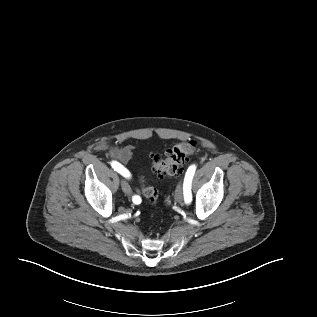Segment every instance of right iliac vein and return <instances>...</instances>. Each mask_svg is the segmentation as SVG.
I'll return each instance as SVG.
<instances>
[{"label": "right iliac vein", "mask_w": 317, "mask_h": 317, "mask_svg": "<svg viewBox=\"0 0 317 317\" xmlns=\"http://www.w3.org/2000/svg\"><path fill=\"white\" fill-rule=\"evenodd\" d=\"M121 187H122L123 192L126 195H129L131 193L130 185L126 181H124V180L121 181Z\"/></svg>", "instance_id": "right-iliac-vein-1"}]
</instances>
